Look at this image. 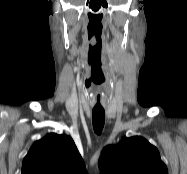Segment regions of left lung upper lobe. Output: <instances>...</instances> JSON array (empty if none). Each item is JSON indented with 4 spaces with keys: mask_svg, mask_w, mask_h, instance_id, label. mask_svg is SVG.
<instances>
[{
    "mask_svg": "<svg viewBox=\"0 0 187 174\" xmlns=\"http://www.w3.org/2000/svg\"><path fill=\"white\" fill-rule=\"evenodd\" d=\"M99 167L101 174H168L157 148L139 136L105 147Z\"/></svg>",
    "mask_w": 187,
    "mask_h": 174,
    "instance_id": "1",
    "label": "left lung upper lobe"
}]
</instances>
